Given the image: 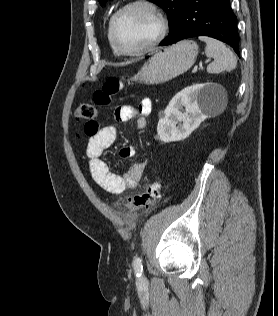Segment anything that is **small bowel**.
<instances>
[{"label":"small bowel","mask_w":278,"mask_h":316,"mask_svg":"<svg viewBox=\"0 0 278 316\" xmlns=\"http://www.w3.org/2000/svg\"><path fill=\"white\" fill-rule=\"evenodd\" d=\"M152 111V104L148 98L140 100L136 106L120 105L114 111V118L119 122L136 120L139 130L145 129L147 119ZM117 138V129L114 126H105L89 136L86 146V157L93 180L105 191L112 194H121L127 189L136 188L141 180L145 161L134 163L123 175L113 173L107 163L101 158L103 152L109 148ZM124 158H133L135 149L132 146H125L120 150Z\"/></svg>","instance_id":"small-bowel-1"}]
</instances>
